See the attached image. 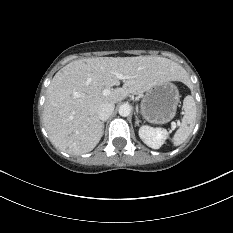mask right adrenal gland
Here are the masks:
<instances>
[{
	"label": "right adrenal gland",
	"instance_id": "2a0ac1e0",
	"mask_svg": "<svg viewBox=\"0 0 233 233\" xmlns=\"http://www.w3.org/2000/svg\"><path fill=\"white\" fill-rule=\"evenodd\" d=\"M106 121H103L102 123H101V125H102V131H104V123H105Z\"/></svg>",
	"mask_w": 233,
	"mask_h": 233
}]
</instances>
